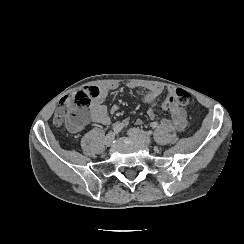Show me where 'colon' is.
<instances>
[{
    "label": "colon",
    "instance_id": "obj_1",
    "mask_svg": "<svg viewBox=\"0 0 244 244\" xmlns=\"http://www.w3.org/2000/svg\"><path fill=\"white\" fill-rule=\"evenodd\" d=\"M101 96L100 89L89 83L82 84L78 90L71 91L57 106L54 122L57 125L65 124L70 133H77L92 119L89 105L97 101ZM194 101L193 95L184 88H177L169 97V102L182 106H191Z\"/></svg>",
    "mask_w": 244,
    "mask_h": 244
}]
</instances>
